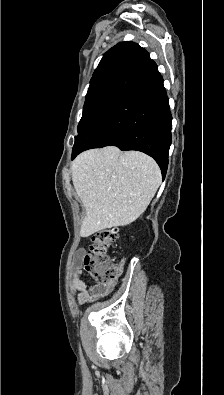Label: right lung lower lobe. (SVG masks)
<instances>
[{"mask_svg":"<svg viewBox=\"0 0 224 395\" xmlns=\"http://www.w3.org/2000/svg\"><path fill=\"white\" fill-rule=\"evenodd\" d=\"M171 126L163 78L148 52L140 48L122 66L111 89L76 139L72 159L84 150L113 145L153 157L164 178Z\"/></svg>","mask_w":224,"mask_h":395,"instance_id":"1","label":"right lung lower lobe"}]
</instances>
